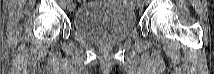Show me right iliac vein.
Instances as JSON below:
<instances>
[{"mask_svg":"<svg viewBox=\"0 0 214 74\" xmlns=\"http://www.w3.org/2000/svg\"><path fill=\"white\" fill-rule=\"evenodd\" d=\"M69 9H70V11H74V9H75V4H74V3H70Z\"/></svg>","mask_w":214,"mask_h":74,"instance_id":"63e3f726","label":"right iliac vein"}]
</instances>
